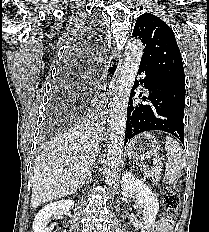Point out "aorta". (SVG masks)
I'll list each match as a JSON object with an SVG mask.
<instances>
[{
    "instance_id": "1",
    "label": "aorta",
    "mask_w": 209,
    "mask_h": 232,
    "mask_svg": "<svg viewBox=\"0 0 209 232\" xmlns=\"http://www.w3.org/2000/svg\"><path fill=\"white\" fill-rule=\"evenodd\" d=\"M144 46L140 40H130L126 45L124 62L114 88L110 111V132L105 166V183L113 186L122 165L126 117L130 91L139 69Z\"/></svg>"
}]
</instances>
